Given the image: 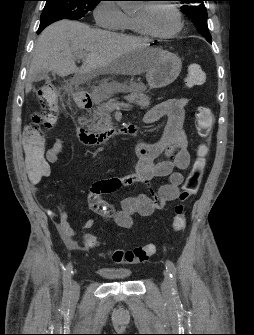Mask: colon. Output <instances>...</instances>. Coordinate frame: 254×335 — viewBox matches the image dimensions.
<instances>
[{"instance_id": "obj_1", "label": "colon", "mask_w": 254, "mask_h": 335, "mask_svg": "<svg viewBox=\"0 0 254 335\" xmlns=\"http://www.w3.org/2000/svg\"><path fill=\"white\" fill-rule=\"evenodd\" d=\"M204 81V71L198 64H190L187 67L185 84L189 87L198 86ZM40 97L44 101V110L34 116L32 124L26 127L23 146L25 154L21 155L24 166L25 178H51V168L44 159V128H51L57 120L58 98L53 87H43ZM214 115L211 108L199 106L195 110V124L200 137H208L212 131ZM208 148L201 145L197 149V156L191 173L188 175L179 194V203L175 206L171 229L181 232L186 226L185 202L196 194L200 188L202 177L206 168ZM84 246L88 249H96L99 241L95 236L87 235L84 238ZM156 252L154 244H146L130 250L115 249L109 253L110 258L117 264H138L145 262Z\"/></svg>"}]
</instances>
